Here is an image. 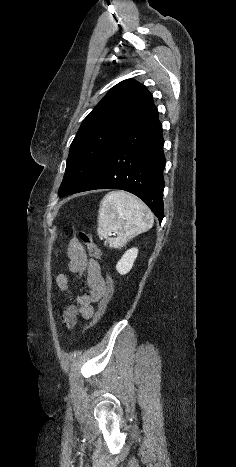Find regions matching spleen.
<instances>
[{"label": "spleen", "instance_id": "obj_1", "mask_svg": "<svg viewBox=\"0 0 236 467\" xmlns=\"http://www.w3.org/2000/svg\"><path fill=\"white\" fill-rule=\"evenodd\" d=\"M154 216L135 196L122 191L107 193L100 202L98 236L112 248H121L138 234L152 228ZM112 233L117 237H110Z\"/></svg>", "mask_w": 236, "mask_h": 467}]
</instances>
